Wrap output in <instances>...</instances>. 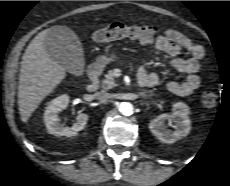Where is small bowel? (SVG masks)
<instances>
[{"instance_id": "1", "label": "small bowel", "mask_w": 230, "mask_h": 186, "mask_svg": "<svg viewBox=\"0 0 230 186\" xmlns=\"http://www.w3.org/2000/svg\"><path fill=\"white\" fill-rule=\"evenodd\" d=\"M152 49L167 56L169 67L186 75L182 82L171 81L167 84L170 92L179 96H188L199 87L198 71L200 62L205 56L204 49L200 45L194 43L180 31L166 29L156 38ZM181 52H187L190 58H180L179 54ZM138 78L139 81L146 83L148 87L155 86L158 83V76L155 73H149L143 66L139 68Z\"/></svg>"}]
</instances>
